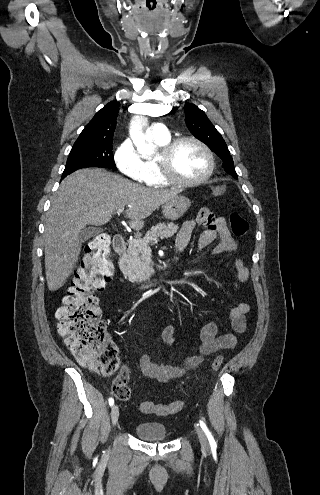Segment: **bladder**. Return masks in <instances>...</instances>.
<instances>
[{
    "mask_svg": "<svg viewBox=\"0 0 320 495\" xmlns=\"http://www.w3.org/2000/svg\"><path fill=\"white\" fill-rule=\"evenodd\" d=\"M136 435L145 441H165L168 437L167 429L160 422H142L135 427Z\"/></svg>",
    "mask_w": 320,
    "mask_h": 495,
    "instance_id": "1",
    "label": "bladder"
}]
</instances>
